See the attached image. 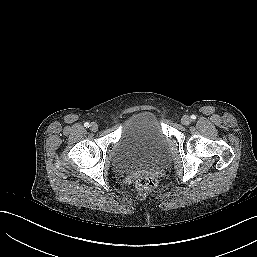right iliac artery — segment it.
Masks as SVG:
<instances>
[{
    "label": "right iliac artery",
    "instance_id": "right-iliac-artery-1",
    "mask_svg": "<svg viewBox=\"0 0 257 257\" xmlns=\"http://www.w3.org/2000/svg\"><path fill=\"white\" fill-rule=\"evenodd\" d=\"M84 126L86 127V128H89V123L88 122H86L85 124H84Z\"/></svg>",
    "mask_w": 257,
    "mask_h": 257
}]
</instances>
